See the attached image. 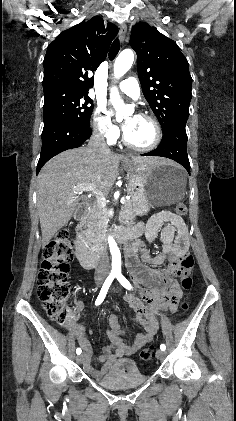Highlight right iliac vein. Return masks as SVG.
I'll return each instance as SVG.
<instances>
[{
  "label": "right iliac vein",
  "mask_w": 236,
  "mask_h": 421,
  "mask_svg": "<svg viewBox=\"0 0 236 421\" xmlns=\"http://www.w3.org/2000/svg\"><path fill=\"white\" fill-rule=\"evenodd\" d=\"M84 359H85V353H82L81 355H78V356L76 357V361H77L78 363H83V362H84Z\"/></svg>",
  "instance_id": "1"
}]
</instances>
